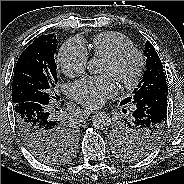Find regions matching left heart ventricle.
Listing matches in <instances>:
<instances>
[{
    "mask_svg": "<svg viewBox=\"0 0 184 184\" xmlns=\"http://www.w3.org/2000/svg\"><path fill=\"white\" fill-rule=\"evenodd\" d=\"M133 66H134V60L133 58H129L124 64V69L125 71L130 72ZM101 73L113 75V69L109 64L104 62Z\"/></svg>",
    "mask_w": 184,
    "mask_h": 184,
    "instance_id": "left-heart-ventricle-1",
    "label": "left heart ventricle"
}]
</instances>
